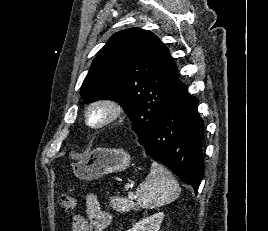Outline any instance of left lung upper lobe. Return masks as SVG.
I'll list each match as a JSON object with an SVG mask.
<instances>
[{
  "instance_id": "1",
  "label": "left lung upper lobe",
  "mask_w": 268,
  "mask_h": 231,
  "mask_svg": "<svg viewBox=\"0 0 268 231\" xmlns=\"http://www.w3.org/2000/svg\"><path fill=\"white\" fill-rule=\"evenodd\" d=\"M183 86L175 62L159 38L131 28L115 33L98 51L80 95L85 103L117 101L141 136L153 128Z\"/></svg>"
}]
</instances>
